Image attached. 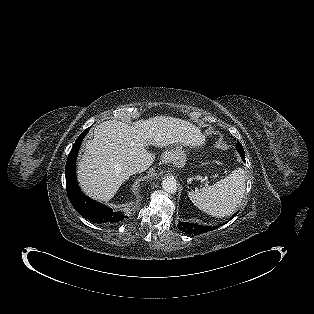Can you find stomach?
<instances>
[{
	"label": "stomach",
	"instance_id": "1",
	"mask_svg": "<svg viewBox=\"0 0 314 314\" xmlns=\"http://www.w3.org/2000/svg\"><path fill=\"white\" fill-rule=\"evenodd\" d=\"M165 162L173 163L175 166L183 167L186 162V151L181 144L172 145L163 155Z\"/></svg>",
	"mask_w": 314,
	"mask_h": 314
}]
</instances>
